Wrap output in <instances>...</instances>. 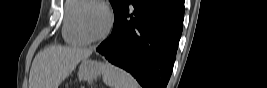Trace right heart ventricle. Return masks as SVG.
Segmentation results:
<instances>
[{"mask_svg": "<svg viewBox=\"0 0 267 88\" xmlns=\"http://www.w3.org/2000/svg\"><path fill=\"white\" fill-rule=\"evenodd\" d=\"M89 0H69L65 4V18L62 34L64 40L71 45L82 46L88 43L80 35L77 27V15L81 7Z\"/></svg>", "mask_w": 267, "mask_h": 88, "instance_id": "obj_1", "label": "right heart ventricle"}]
</instances>
